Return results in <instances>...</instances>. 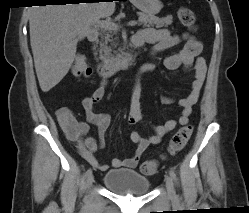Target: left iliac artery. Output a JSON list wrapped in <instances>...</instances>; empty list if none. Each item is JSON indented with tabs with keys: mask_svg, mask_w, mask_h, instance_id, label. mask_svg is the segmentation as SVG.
I'll use <instances>...</instances> for the list:
<instances>
[{
	"mask_svg": "<svg viewBox=\"0 0 249 213\" xmlns=\"http://www.w3.org/2000/svg\"><path fill=\"white\" fill-rule=\"evenodd\" d=\"M169 174H170V176H171L174 180H176V174H175L174 170L170 169Z\"/></svg>",
	"mask_w": 249,
	"mask_h": 213,
	"instance_id": "left-iliac-artery-1",
	"label": "left iliac artery"
}]
</instances>
